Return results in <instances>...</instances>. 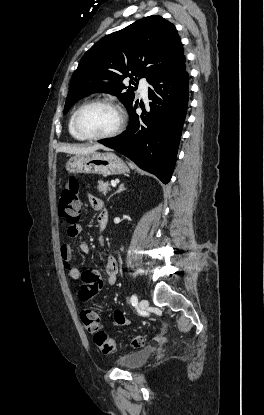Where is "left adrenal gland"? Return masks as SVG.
Masks as SVG:
<instances>
[{
	"label": "left adrenal gland",
	"mask_w": 264,
	"mask_h": 415,
	"mask_svg": "<svg viewBox=\"0 0 264 415\" xmlns=\"http://www.w3.org/2000/svg\"><path fill=\"white\" fill-rule=\"evenodd\" d=\"M124 190H125L124 184H120L118 190L116 192H114L109 198H111L114 194L120 193V192H122Z\"/></svg>",
	"instance_id": "left-adrenal-gland-1"
}]
</instances>
